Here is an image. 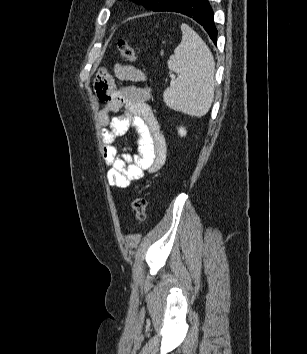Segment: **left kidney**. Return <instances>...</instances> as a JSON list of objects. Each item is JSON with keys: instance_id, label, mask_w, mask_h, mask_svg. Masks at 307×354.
Returning <instances> with one entry per match:
<instances>
[{"instance_id": "obj_1", "label": "left kidney", "mask_w": 307, "mask_h": 354, "mask_svg": "<svg viewBox=\"0 0 307 354\" xmlns=\"http://www.w3.org/2000/svg\"><path fill=\"white\" fill-rule=\"evenodd\" d=\"M178 133H179V135H180L181 137H184V136H186L187 131H186V129H185L184 127H180V128L178 129Z\"/></svg>"}]
</instances>
